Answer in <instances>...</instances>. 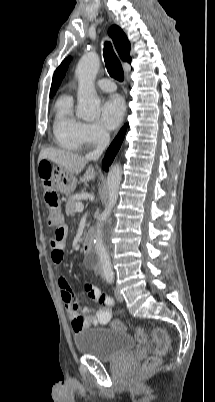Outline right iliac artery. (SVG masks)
I'll use <instances>...</instances> for the list:
<instances>
[{
  "instance_id": "1",
  "label": "right iliac artery",
  "mask_w": 215,
  "mask_h": 402,
  "mask_svg": "<svg viewBox=\"0 0 215 402\" xmlns=\"http://www.w3.org/2000/svg\"><path fill=\"white\" fill-rule=\"evenodd\" d=\"M108 280V282H111L112 281V278H109V279H107Z\"/></svg>"
}]
</instances>
